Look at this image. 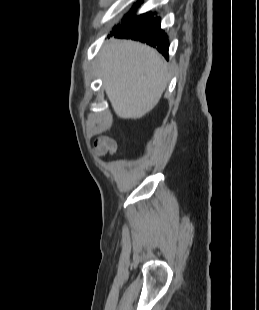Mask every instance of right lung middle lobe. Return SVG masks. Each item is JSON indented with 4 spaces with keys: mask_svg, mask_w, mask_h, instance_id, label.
Listing matches in <instances>:
<instances>
[{
    "mask_svg": "<svg viewBox=\"0 0 259 310\" xmlns=\"http://www.w3.org/2000/svg\"><path fill=\"white\" fill-rule=\"evenodd\" d=\"M138 4H139V3H137V4L135 5L134 8H136V7L138 6ZM140 16H142V15H140ZM140 16H136V15L132 14V12H130V13L127 15V17L124 18L122 24L116 26V28H115V30H113V32L127 27L132 21H134L135 19H137V18L140 17Z\"/></svg>",
    "mask_w": 259,
    "mask_h": 310,
    "instance_id": "obj_1",
    "label": "right lung middle lobe"
}]
</instances>
